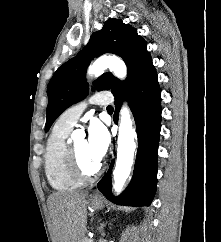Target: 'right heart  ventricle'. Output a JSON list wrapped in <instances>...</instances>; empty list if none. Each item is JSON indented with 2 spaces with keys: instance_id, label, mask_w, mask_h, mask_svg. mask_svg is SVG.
Returning <instances> with one entry per match:
<instances>
[{
  "instance_id": "1",
  "label": "right heart ventricle",
  "mask_w": 221,
  "mask_h": 242,
  "mask_svg": "<svg viewBox=\"0 0 221 242\" xmlns=\"http://www.w3.org/2000/svg\"><path fill=\"white\" fill-rule=\"evenodd\" d=\"M69 130L53 127L44 152V172L50 186L59 192L80 188L83 181L76 178L68 164V148L65 139Z\"/></svg>"
}]
</instances>
